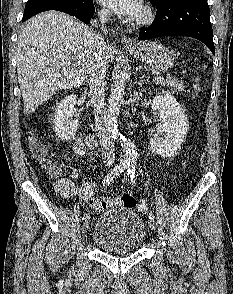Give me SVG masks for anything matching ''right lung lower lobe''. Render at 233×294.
Instances as JSON below:
<instances>
[{
	"label": "right lung lower lobe",
	"instance_id": "right-lung-lower-lobe-1",
	"mask_svg": "<svg viewBox=\"0 0 233 294\" xmlns=\"http://www.w3.org/2000/svg\"><path fill=\"white\" fill-rule=\"evenodd\" d=\"M51 10L61 11L69 15L75 16L79 20L88 24L94 15L95 8L93 0H79L78 2L66 7H57Z\"/></svg>",
	"mask_w": 233,
	"mask_h": 294
}]
</instances>
